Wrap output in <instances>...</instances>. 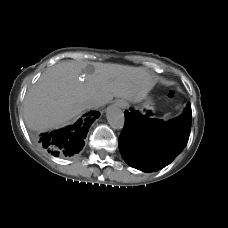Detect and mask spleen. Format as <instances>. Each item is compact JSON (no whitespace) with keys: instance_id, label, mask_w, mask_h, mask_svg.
<instances>
[{"instance_id":"obj_1","label":"spleen","mask_w":228,"mask_h":228,"mask_svg":"<svg viewBox=\"0 0 228 228\" xmlns=\"http://www.w3.org/2000/svg\"><path fill=\"white\" fill-rule=\"evenodd\" d=\"M169 114H165L164 117H168Z\"/></svg>"}]
</instances>
